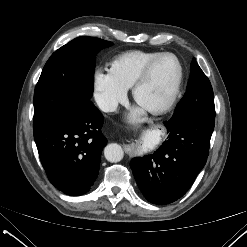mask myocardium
Instances as JSON below:
<instances>
[{
	"label": "myocardium",
	"instance_id": "f54148a6",
	"mask_svg": "<svg viewBox=\"0 0 247 247\" xmlns=\"http://www.w3.org/2000/svg\"><path fill=\"white\" fill-rule=\"evenodd\" d=\"M165 57H172L177 64L178 67V73H177V78L174 84V87L172 89L171 94L169 95V97L161 104L156 105V106H143L140 103L139 100V90L140 88L145 84V82L147 81L148 77L150 76V73L152 71V69L154 68V66L163 58ZM182 80H183V68H182V64L179 60V58L170 52H164V53H160L158 56H156L155 58H153L141 71V73L139 74V76L137 77V79L135 80L133 86H132V97L134 99V101L139 104L140 106H142L145 110H147L150 113L153 114H162L165 113L167 111H169L173 105L175 104L180 90H181V85H182Z\"/></svg>",
	"mask_w": 247,
	"mask_h": 247
}]
</instances>
